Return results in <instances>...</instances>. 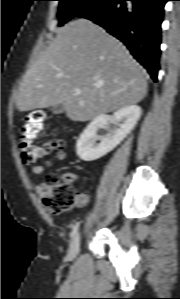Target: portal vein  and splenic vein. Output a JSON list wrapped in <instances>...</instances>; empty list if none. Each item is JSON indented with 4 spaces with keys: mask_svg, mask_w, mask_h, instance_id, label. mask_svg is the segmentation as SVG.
<instances>
[{
    "mask_svg": "<svg viewBox=\"0 0 180 299\" xmlns=\"http://www.w3.org/2000/svg\"><path fill=\"white\" fill-rule=\"evenodd\" d=\"M74 91L76 94H80L82 92L80 89H75Z\"/></svg>",
    "mask_w": 180,
    "mask_h": 299,
    "instance_id": "18ae733b",
    "label": "portal vein and splenic vein"
}]
</instances>
